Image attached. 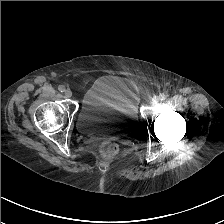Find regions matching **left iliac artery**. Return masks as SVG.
Segmentation results:
<instances>
[{
    "label": "left iliac artery",
    "instance_id": "1",
    "mask_svg": "<svg viewBox=\"0 0 224 224\" xmlns=\"http://www.w3.org/2000/svg\"><path fill=\"white\" fill-rule=\"evenodd\" d=\"M159 99H160L161 101L165 100V99H166V95H165V94H160V95H159Z\"/></svg>",
    "mask_w": 224,
    "mask_h": 224
}]
</instances>
